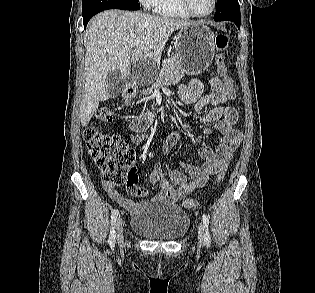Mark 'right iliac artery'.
<instances>
[{
    "mask_svg": "<svg viewBox=\"0 0 315 293\" xmlns=\"http://www.w3.org/2000/svg\"><path fill=\"white\" fill-rule=\"evenodd\" d=\"M118 210L115 209L113 212H112V215H111V225H112V228H111V231H110V235H109V239H108V243L110 244V246H114L115 245V238H116V232L114 230V223L116 222V219L118 217Z\"/></svg>",
    "mask_w": 315,
    "mask_h": 293,
    "instance_id": "obj_1",
    "label": "right iliac artery"
}]
</instances>
